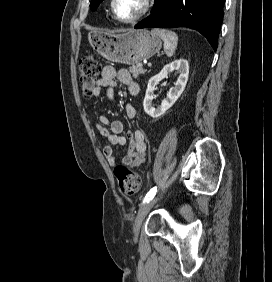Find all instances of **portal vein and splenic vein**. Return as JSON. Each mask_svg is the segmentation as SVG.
I'll use <instances>...</instances> for the list:
<instances>
[{
	"mask_svg": "<svg viewBox=\"0 0 272 282\" xmlns=\"http://www.w3.org/2000/svg\"><path fill=\"white\" fill-rule=\"evenodd\" d=\"M147 65H148V67H151V66H152V64H151V63H148Z\"/></svg>",
	"mask_w": 272,
	"mask_h": 282,
	"instance_id": "portal-vein-and-splenic-vein-1",
	"label": "portal vein and splenic vein"
}]
</instances>
